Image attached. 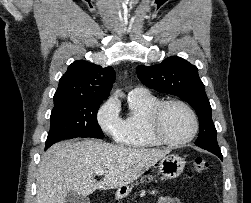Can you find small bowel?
Returning a JSON list of instances; mask_svg holds the SVG:
<instances>
[{
  "instance_id": "obj_1",
  "label": "small bowel",
  "mask_w": 251,
  "mask_h": 203,
  "mask_svg": "<svg viewBox=\"0 0 251 203\" xmlns=\"http://www.w3.org/2000/svg\"><path fill=\"white\" fill-rule=\"evenodd\" d=\"M157 203H181V201L176 197L162 196L158 199Z\"/></svg>"
}]
</instances>
